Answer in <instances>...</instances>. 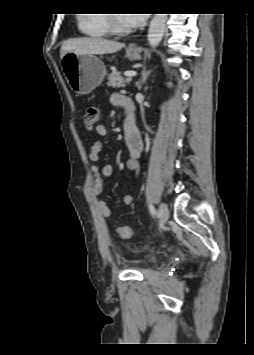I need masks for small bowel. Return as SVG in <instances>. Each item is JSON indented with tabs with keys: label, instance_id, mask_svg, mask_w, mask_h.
Returning a JSON list of instances; mask_svg holds the SVG:
<instances>
[{
	"label": "small bowel",
	"instance_id": "1",
	"mask_svg": "<svg viewBox=\"0 0 254 355\" xmlns=\"http://www.w3.org/2000/svg\"><path fill=\"white\" fill-rule=\"evenodd\" d=\"M129 100V102L127 101ZM113 104L121 106L125 109L126 118L132 115L135 118V108L133 102L120 94H114L111 98ZM125 118V120H126ZM125 129V143L129 151V159L127 161V167L132 172L131 183L136 184L138 180V172L140 169L139 158L143 151V141L139 130L136 128L131 131ZM95 134L101 139L95 140L91 147L89 153V159L92 163L91 169L93 172V181L91 185V192L97 198V204L102 217L105 220H112V211L107 205L104 199V179L111 177L114 173V167L111 164H105L102 167L96 165L99 160L100 153L102 152L106 142L105 138L107 136V129L104 125H98L95 128ZM123 202L125 205H130L132 203V197L130 194H126L123 197Z\"/></svg>",
	"mask_w": 254,
	"mask_h": 355
}]
</instances>
